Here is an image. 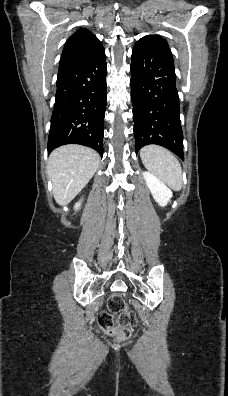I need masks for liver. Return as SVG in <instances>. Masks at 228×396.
<instances>
[{
	"label": "liver",
	"mask_w": 228,
	"mask_h": 396,
	"mask_svg": "<svg viewBox=\"0 0 228 396\" xmlns=\"http://www.w3.org/2000/svg\"><path fill=\"white\" fill-rule=\"evenodd\" d=\"M100 163L99 154L91 148L70 144L55 149L49 156L48 177L59 205L71 202L93 177Z\"/></svg>",
	"instance_id": "obj_1"
}]
</instances>
